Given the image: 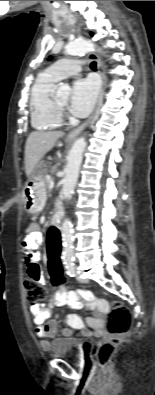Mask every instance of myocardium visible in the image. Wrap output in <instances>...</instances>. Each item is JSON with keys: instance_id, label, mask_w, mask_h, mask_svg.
Segmentation results:
<instances>
[{"instance_id": "1", "label": "myocardium", "mask_w": 155, "mask_h": 395, "mask_svg": "<svg viewBox=\"0 0 155 395\" xmlns=\"http://www.w3.org/2000/svg\"><path fill=\"white\" fill-rule=\"evenodd\" d=\"M52 106H53L55 112L57 113V115H58V116L60 117V119H61V117H62L63 114H64V106L60 105V104L57 102V100H56V98H55L54 96H52Z\"/></svg>"}]
</instances>
